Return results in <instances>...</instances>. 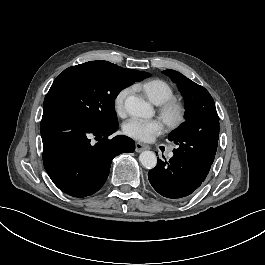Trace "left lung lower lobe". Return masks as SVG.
<instances>
[{
    "label": "left lung lower lobe",
    "instance_id": "obj_1",
    "mask_svg": "<svg viewBox=\"0 0 265 265\" xmlns=\"http://www.w3.org/2000/svg\"><path fill=\"white\" fill-rule=\"evenodd\" d=\"M208 173L174 155L169 162L159 160L157 166L149 171L148 178L160 195L183 200L201 186Z\"/></svg>",
    "mask_w": 265,
    "mask_h": 265
}]
</instances>
